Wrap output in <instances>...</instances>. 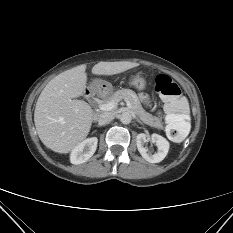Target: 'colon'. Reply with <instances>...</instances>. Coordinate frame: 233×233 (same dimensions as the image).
Instances as JSON below:
<instances>
[{
    "instance_id": "1",
    "label": "colon",
    "mask_w": 233,
    "mask_h": 233,
    "mask_svg": "<svg viewBox=\"0 0 233 233\" xmlns=\"http://www.w3.org/2000/svg\"><path fill=\"white\" fill-rule=\"evenodd\" d=\"M155 90L165 101L166 131L170 139L181 141L189 131V109L178 85L165 74L157 75Z\"/></svg>"
}]
</instances>
